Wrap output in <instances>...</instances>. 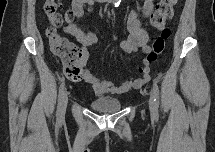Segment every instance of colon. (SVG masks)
<instances>
[{"mask_svg":"<svg viewBox=\"0 0 215 152\" xmlns=\"http://www.w3.org/2000/svg\"><path fill=\"white\" fill-rule=\"evenodd\" d=\"M176 0H161L151 16V23L162 29L161 35L153 42L152 48L147 53L143 66L139 68L141 73L149 71V65L154 63L164 51L166 42L170 36V30L165 27V22L173 15V6ZM44 11L50 21V28L47 31L51 51L60 57L63 71L71 80H80L83 76V52L73 43L58 33V29L74 20L73 12L61 13L59 1L48 0L44 5Z\"/></svg>","mask_w":215,"mask_h":152,"instance_id":"obj_1","label":"colon"}]
</instances>
